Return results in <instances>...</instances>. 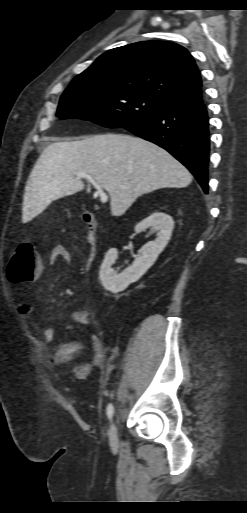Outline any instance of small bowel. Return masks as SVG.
<instances>
[{"mask_svg": "<svg viewBox=\"0 0 247 513\" xmlns=\"http://www.w3.org/2000/svg\"><path fill=\"white\" fill-rule=\"evenodd\" d=\"M72 260L71 252L64 246H56L50 253L49 262L51 265H55L59 262L69 263ZM19 313L25 318L32 317V309L30 305L23 302L18 307ZM73 320L83 326L90 325L92 320L87 311L79 310L73 313ZM35 330L41 335L43 343L48 345L55 339V330L52 327L45 326L39 322L34 323ZM85 349L89 352V358L82 364L75 365L72 368V373L75 377L83 379L86 378L93 369L100 367L105 358V348L101 338L97 335H91L89 337L88 345L85 346L78 341H66L61 344L52 352L50 357V363L55 366L65 364L73 356L83 352ZM112 353L117 352V348L114 347Z\"/></svg>", "mask_w": 247, "mask_h": 513, "instance_id": "1", "label": "small bowel"}]
</instances>
